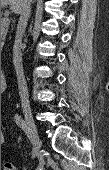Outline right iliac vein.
<instances>
[{"instance_id": "1", "label": "right iliac vein", "mask_w": 109, "mask_h": 170, "mask_svg": "<svg viewBox=\"0 0 109 170\" xmlns=\"http://www.w3.org/2000/svg\"><path fill=\"white\" fill-rule=\"evenodd\" d=\"M24 117L28 124L29 128V138L33 143V156H37L39 154L41 148V142L38 136L37 128L33 119V116L29 110H24Z\"/></svg>"}]
</instances>
